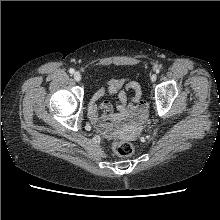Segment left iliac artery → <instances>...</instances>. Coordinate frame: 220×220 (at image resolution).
Masks as SVG:
<instances>
[{
	"label": "left iliac artery",
	"instance_id": "44dca946",
	"mask_svg": "<svg viewBox=\"0 0 220 220\" xmlns=\"http://www.w3.org/2000/svg\"><path fill=\"white\" fill-rule=\"evenodd\" d=\"M156 73H159V69L156 70Z\"/></svg>",
	"mask_w": 220,
	"mask_h": 220
}]
</instances>
